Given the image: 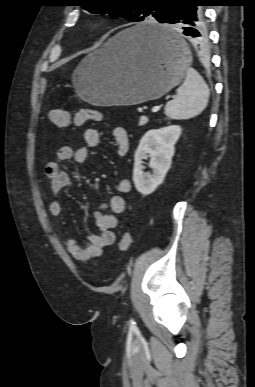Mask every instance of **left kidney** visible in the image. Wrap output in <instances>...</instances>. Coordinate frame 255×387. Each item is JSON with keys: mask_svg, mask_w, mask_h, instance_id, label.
<instances>
[{"mask_svg": "<svg viewBox=\"0 0 255 387\" xmlns=\"http://www.w3.org/2000/svg\"><path fill=\"white\" fill-rule=\"evenodd\" d=\"M179 125L152 129L145 133L135 153L133 181L138 192L149 195L163 182L170 169L175 144L181 135ZM150 158L153 174H145L143 160Z\"/></svg>", "mask_w": 255, "mask_h": 387, "instance_id": "5707ae66", "label": "left kidney"}]
</instances>
